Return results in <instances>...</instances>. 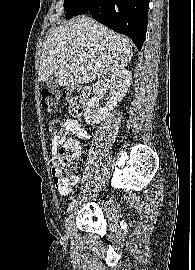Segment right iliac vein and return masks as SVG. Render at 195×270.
I'll return each instance as SVG.
<instances>
[{"label": "right iliac vein", "instance_id": "right-iliac-vein-1", "mask_svg": "<svg viewBox=\"0 0 195 270\" xmlns=\"http://www.w3.org/2000/svg\"><path fill=\"white\" fill-rule=\"evenodd\" d=\"M75 213H76L75 210H73L71 212V214L69 215L67 222H66V231H67L68 235L71 233V230L73 227Z\"/></svg>", "mask_w": 195, "mask_h": 270}]
</instances>
